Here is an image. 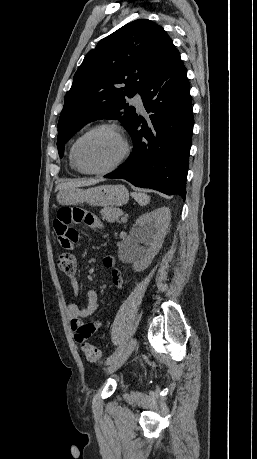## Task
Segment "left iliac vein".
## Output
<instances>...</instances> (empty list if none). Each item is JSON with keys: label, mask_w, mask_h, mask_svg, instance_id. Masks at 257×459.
<instances>
[{"label": "left iliac vein", "mask_w": 257, "mask_h": 459, "mask_svg": "<svg viewBox=\"0 0 257 459\" xmlns=\"http://www.w3.org/2000/svg\"><path fill=\"white\" fill-rule=\"evenodd\" d=\"M137 345V340L136 339H131L125 348L123 349L122 353L111 363L109 364L106 372L107 374H111L115 372L117 369H119L129 358L133 350L135 349Z\"/></svg>", "instance_id": "4c4485c4"}]
</instances>
